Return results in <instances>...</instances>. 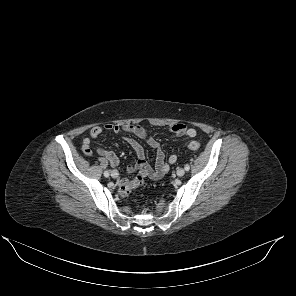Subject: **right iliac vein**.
I'll list each match as a JSON object with an SVG mask.
<instances>
[{
    "label": "right iliac vein",
    "mask_w": 296,
    "mask_h": 296,
    "mask_svg": "<svg viewBox=\"0 0 296 296\" xmlns=\"http://www.w3.org/2000/svg\"><path fill=\"white\" fill-rule=\"evenodd\" d=\"M118 172L116 171V170H113L112 172H111V176L113 177V178H117L118 177Z\"/></svg>",
    "instance_id": "obj_1"
}]
</instances>
